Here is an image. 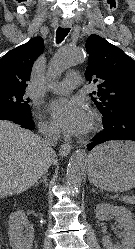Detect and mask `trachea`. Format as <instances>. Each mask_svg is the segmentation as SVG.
<instances>
[{"label":"trachea","mask_w":135,"mask_h":249,"mask_svg":"<svg viewBox=\"0 0 135 249\" xmlns=\"http://www.w3.org/2000/svg\"><path fill=\"white\" fill-rule=\"evenodd\" d=\"M69 31H70V28L59 27L56 31V42L61 43L65 39Z\"/></svg>","instance_id":"obj_1"}]
</instances>
